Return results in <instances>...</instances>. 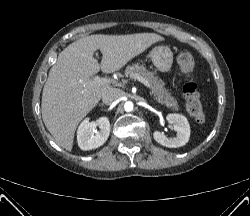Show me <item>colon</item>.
Instances as JSON below:
<instances>
[{
	"label": "colon",
	"instance_id": "obj_1",
	"mask_svg": "<svg viewBox=\"0 0 250 216\" xmlns=\"http://www.w3.org/2000/svg\"><path fill=\"white\" fill-rule=\"evenodd\" d=\"M177 65L185 77L183 95L186 102V109L198 123H204L206 117L200 101L199 87L192 75L195 65L193 55L187 50L181 51L177 56Z\"/></svg>",
	"mask_w": 250,
	"mask_h": 216
}]
</instances>
